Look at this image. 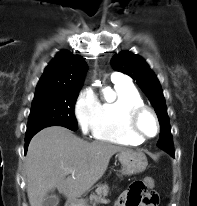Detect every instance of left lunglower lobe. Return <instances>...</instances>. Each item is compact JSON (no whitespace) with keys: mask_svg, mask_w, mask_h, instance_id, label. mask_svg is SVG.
<instances>
[{"mask_svg":"<svg viewBox=\"0 0 197 206\" xmlns=\"http://www.w3.org/2000/svg\"><path fill=\"white\" fill-rule=\"evenodd\" d=\"M166 152H168L172 157L174 156V149L168 150V151H166Z\"/></svg>","mask_w":197,"mask_h":206,"instance_id":"0a47b994","label":"left lung lower lobe"}]
</instances>
